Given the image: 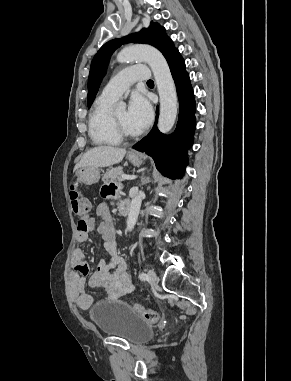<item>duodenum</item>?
I'll return each instance as SVG.
<instances>
[{
    "label": "duodenum",
    "mask_w": 291,
    "mask_h": 381,
    "mask_svg": "<svg viewBox=\"0 0 291 381\" xmlns=\"http://www.w3.org/2000/svg\"><path fill=\"white\" fill-rule=\"evenodd\" d=\"M121 212L123 214H128V212H129V206H128L127 202L124 205L121 206Z\"/></svg>",
    "instance_id": "obj_1"
}]
</instances>
